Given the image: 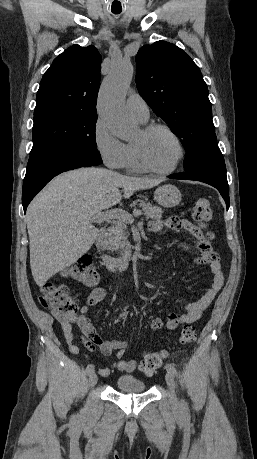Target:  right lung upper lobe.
Returning <instances> with one entry per match:
<instances>
[{
    "instance_id": "obj_1",
    "label": "right lung upper lobe",
    "mask_w": 257,
    "mask_h": 459,
    "mask_svg": "<svg viewBox=\"0 0 257 459\" xmlns=\"http://www.w3.org/2000/svg\"><path fill=\"white\" fill-rule=\"evenodd\" d=\"M100 65L101 55L93 45L66 49L41 80L35 112L62 108L96 114Z\"/></svg>"
}]
</instances>
